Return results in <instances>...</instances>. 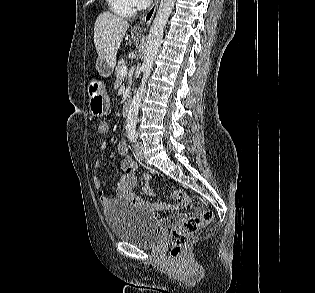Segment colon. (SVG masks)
<instances>
[{"label": "colon", "mask_w": 315, "mask_h": 293, "mask_svg": "<svg viewBox=\"0 0 315 293\" xmlns=\"http://www.w3.org/2000/svg\"><path fill=\"white\" fill-rule=\"evenodd\" d=\"M107 131L108 124L105 121H101L98 125V132L100 134H106ZM170 197L179 205H184L189 201L187 194L181 190L172 191ZM193 209L196 212H200L202 207L200 204H195ZM213 218V212L207 210L203 211L199 216L186 217L176 223L170 232V258L172 260L180 259L191 235L212 222Z\"/></svg>", "instance_id": "obj_1"}]
</instances>
